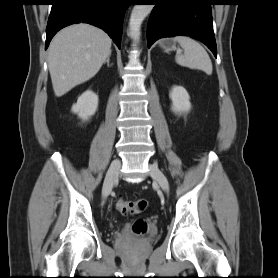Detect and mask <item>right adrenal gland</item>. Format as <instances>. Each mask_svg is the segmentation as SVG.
Masks as SVG:
<instances>
[{
  "label": "right adrenal gland",
  "instance_id": "2a0ac1e0",
  "mask_svg": "<svg viewBox=\"0 0 278 278\" xmlns=\"http://www.w3.org/2000/svg\"><path fill=\"white\" fill-rule=\"evenodd\" d=\"M110 56L111 54L107 57L105 63H107V66L110 67Z\"/></svg>",
  "mask_w": 278,
  "mask_h": 278
}]
</instances>
